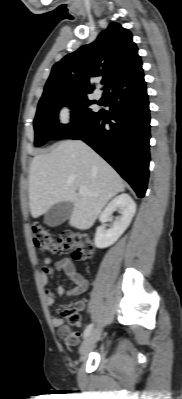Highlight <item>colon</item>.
I'll return each mask as SVG.
<instances>
[{
	"instance_id": "1",
	"label": "colon",
	"mask_w": 182,
	"mask_h": 399,
	"mask_svg": "<svg viewBox=\"0 0 182 399\" xmlns=\"http://www.w3.org/2000/svg\"><path fill=\"white\" fill-rule=\"evenodd\" d=\"M34 244L44 251L53 254H66L73 252L77 261H87L93 257V245L90 237L84 233L65 232L57 237L41 224L31 226ZM79 305L63 306L60 310L62 317L70 326H78L81 322Z\"/></svg>"
}]
</instances>
